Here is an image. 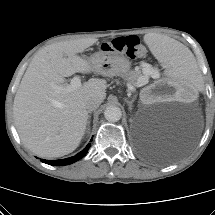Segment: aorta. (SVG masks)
I'll return each mask as SVG.
<instances>
[{
  "label": "aorta",
  "instance_id": "obj_1",
  "mask_svg": "<svg viewBox=\"0 0 215 215\" xmlns=\"http://www.w3.org/2000/svg\"><path fill=\"white\" fill-rule=\"evenodd\" d=\"M104 117L109 122H117L122 117V111L118 106H108L104 111Z\"/></svg>",
  "mask_w": 215,
  "mask_h": 215
}]
</instances>
